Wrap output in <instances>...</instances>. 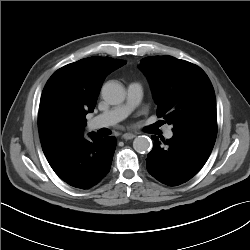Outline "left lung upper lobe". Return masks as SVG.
Here are the masks:
<instances>
[{
    "instance_id": "1",
    "label": "left lung upper lobe",
    "mask_w": 250,
    "mask_h": 250,
    "mask_svg": "<svg viewBox=\"0 0 250 250\" xmlns=\"http://www.w3.org/2000/svg\"><path fill=\"white\" fill-rule=\"evenodd\" d=\"M139 69L148 78L157 116L177 131H217L213 86L198 66L172 56H149Z\"/></svg>"
}]
</instances>
